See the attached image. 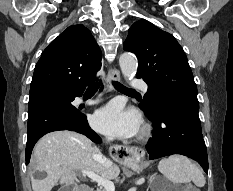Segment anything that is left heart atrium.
Listing matches in <instances>:
<instances>
[{
    "instance_id": "obj_1",
    "label": "left heart atrium",
    "mask_w": 233,
    "mask_h": 191,
    "mask_svg": "<svg viewBox=\"0 0 233 191\" xmlns=\"http://www.w3.org/2000/svg\"><path fill=\"white\" fill-rule=\"evenodd\" d=\"M91 121L97 131L114 138H131L138 134L141 127L140 116L135 111L126 110L118 102L97 110Z\"/></svg>"
}]
</instances>
